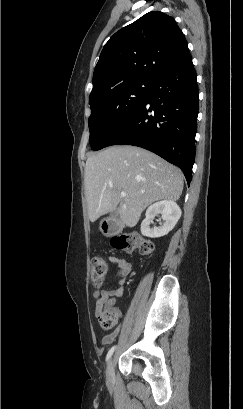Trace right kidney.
I'll list each match as a JSON object with an SVG mask.
<instances>
[{
	"mask_svg": "<svg viewBox=\"0 0 243 409\" xmlns=\"http://www.w3.org/2000/svg\"><path fill=\"white\" fill-rule=\"evenodd\" d=\"M158 214H161L163 224L159 227L150 229V221ZM181 217V209L174 202L170 200H163L156 202L148 207L146 210V218L141 223V233L143 236L150 238H158L167 235L177 224Z\"/></svg>",
	"mask_w": 243,
	"mask_h": 409,
	"instance_id": "obj_1",
	"label": "right kidney"
}]
</instances>
